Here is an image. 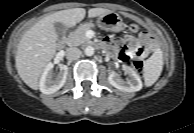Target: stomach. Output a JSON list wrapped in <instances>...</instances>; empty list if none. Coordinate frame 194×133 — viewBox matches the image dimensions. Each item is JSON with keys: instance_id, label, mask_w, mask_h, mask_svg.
<instances>
[{"instance_id": "0dacf381", "label": "stomach", "mask_w": 194, "mask_h": 133, "mask_svg": "<svg viewBox=\"0 0 194 133\" xmlns=\"http://www.w3.org/2000/svg\"><path fill=\"white\" fill-rule=\"evenodd\" d=\"M97 25L106 31L119 32L122 30L123 22L119 14L109 12L101 15L96 20Z\"/></svg>"}]
</instances>
